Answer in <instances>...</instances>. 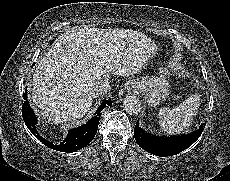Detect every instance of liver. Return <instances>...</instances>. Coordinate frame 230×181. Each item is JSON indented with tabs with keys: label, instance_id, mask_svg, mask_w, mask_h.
I'll use <instances>...</instances> for the list:
<instances>
[{
	"label": "liver",
	"instance_id": "1",
	"mask_svg": "<svg viewBox=\"0 0 230 181\" xmlns=\"http://www.w3.org/2000/svg\"><path fill=\"white\" fill-rule=\"evenodd\" d=\"M155 52L139 32L79 28L58 37L34 70L31 99L54 124L82 118L93 102L91 88L113 75L139 73Z\"/></svg>",
	"mask_w": 230,
	"mask_h": 181
}]
</instances>
